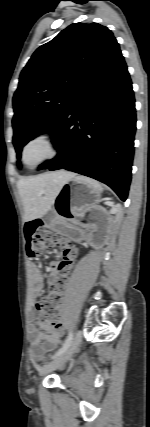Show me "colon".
<instances>
[{"instance_id":"obj_1","label":"colon","mask_w":150,"mask_h":427,"mask_svg":"<svg viewBox=\"0 0 150 427\" xmlns=\"http://www.w3.org/2000/svg\"><path fill=\"white\" fill-rule=\"evenodd\" d=\"M25 236L27 240L26 251L30 259L38 258L43 251L54 245L59 244L63 248L64 262L61 268V274L56 281L50 285L48 295L41 298L37 303V310L41 320L47 326L59 329L61 327V293L67 284L66 274L70 268L71 259L76 256V251L65 241L56 237L41 220H33L25 226Z\"/></svg>"}]
</instances>
